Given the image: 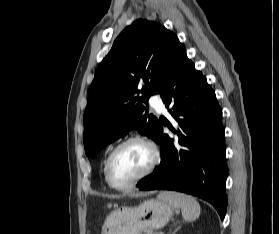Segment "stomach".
<instances>
[{
    "label": "stomach",
    "mask_w": 279,
    "mask_h": 234,
    "mask_svg": "<svg viewBox=\"0 0 279 234\" xmlns=\"http://www.w3.org/2000/svg\"><path fill=\"white\" fill-rule=\"evenodd\" d=\"M173 213V206L159 199L146 200L137 207L117 208L107 216L101 234H142L161 229Z\"/></svg>",
    "instance_id": "stomach-1"
}]
</instances>
